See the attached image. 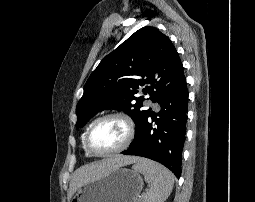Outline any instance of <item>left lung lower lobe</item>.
Returning <instances> with one entry per match:
<instances>
[{"mask_svg": "<svg viewBox=\"0 0 255 202\" xmlns=\"http://www.w3.org/2000/svg\"><path fill=\"white\" fill-rule=\"evenodd\" d=\"M157 103L160 105V111L149 112L140 130L135 134L134 141L122 154L155 160L179 178L188 112L186 78L177 87L165 93Z\"/></svg>", "mask_w": 255, "mask_h": 202, "instance_id": "obj_1", "label": "left lung lower lobe"}]
</instances>
